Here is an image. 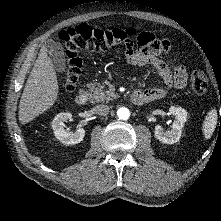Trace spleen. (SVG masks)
<instances>
[{"mask_svg": "<svg viewBox=\"0 0 221 221\" xmlns=\"http://www.w3.org/2000/svg\"><path fill=\"white\" fill-rule=\"evenodd\" d=\"M217 125V110L212 109L208 112L204 122H203V134L206 139H209L213 134Z\"/></svg>", "mask_w": 221, "mask_h": 221, "instance_id": "3e777b00", "label": "spleen"}]
</instances>
